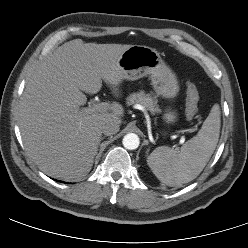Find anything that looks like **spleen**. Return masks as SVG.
Masks as SVG:
<instances>
[{"instance_id":"spleen-1","label":"spleen","mask_w":248,"mask_h":248,"mask_svg":"<svg viewBox=\"0 0 248 248\" xmlns=\"http://www.w3.org/2000/svg\"><path fill=\"white\" fill-rule=\"evenodd\" d=\"M220 108L215 104L198 134L180 149L157 147L147 158L154 175L168 186H182L194 180L212 156L220 133Z\"/></svg>"}]
</instances>
